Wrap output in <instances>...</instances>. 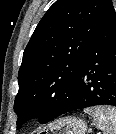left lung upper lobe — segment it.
<instances>
[{"mask_svg":"<svg viewBox=\"0 0 116 134\" xmlns=\"http://www.w3.org/2000/svg\"><path fill=\"white\" fill-rule=\"evenodd\" d=\"M113 9L111 0H57L48 9L23 53L17 129L33 117L49 122L71 97L81 64Z\"/></svg>","mask_w":116,"mask_h":134,"instance_id":"5c2ea615","label":"left lung upper lobe"}]
</instances>
